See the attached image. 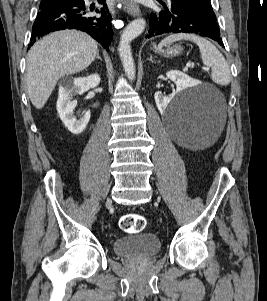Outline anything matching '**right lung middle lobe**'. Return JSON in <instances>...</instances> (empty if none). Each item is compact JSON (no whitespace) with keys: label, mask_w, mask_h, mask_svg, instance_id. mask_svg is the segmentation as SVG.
Segmentation results:
<instances>
[{"label":"right lung middle lobe","mask_w":267,"mask_h":301,"mask_svg":"<svg viewBox=\"0 0 267 301\" xmlns=\"http://www.w3.org/2000/svg\"><path fill=\"white\" fill-rule=\"evenodd\" d=\"M55 4H58V2L54 3L53 1L51 0H42L41 3H40V10L41 9H45V8H48V7H51Z\"/></svg>","instance_id":"dd1d6c3e"}]
</instances>
